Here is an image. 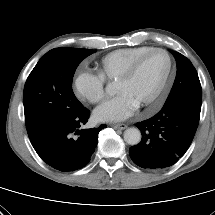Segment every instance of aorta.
<instances>
[{"label":"aorta","instance_id":"obj_1","mask_svg":"<svg viewBox=\"0 0 215 215\" xmlns=\"http://www.w3.org/2000/svg\"><path fill=\"white\" fill-rule=\"evenodd\" d=\"M106 92L107 93H111L112 89L111 86L108 85L106 87ZM124 140L126 143H128L129 145H137L140 143L141 141V132L139 129L137 128H128L124 131Z\"/></svg>","mask_w":215,"mask_h":215}]
</instances>
